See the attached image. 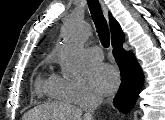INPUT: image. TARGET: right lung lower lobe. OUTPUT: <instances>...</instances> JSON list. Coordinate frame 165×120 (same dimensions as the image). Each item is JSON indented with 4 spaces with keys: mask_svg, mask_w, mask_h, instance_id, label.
Here are the masks:
<instances>
[{
    "mask_svg": "<svg viewBox=\"0 0 165 120\" xmlns=\"http://www.w3.org/2000/svg\"><path fill=\"white\" fill-rule=\"evenodd\" d=\"M125 38L112 43L113 55L121 72V85L113 104L125 114L134 107L144 83L142 69L130 51L123 48Z\"/></svg>",
    "mask_w": 165,
    "mask_h": 120,
    "instance_id": "1",
    "label": "right lung lower lobe"
}]
</instances>
